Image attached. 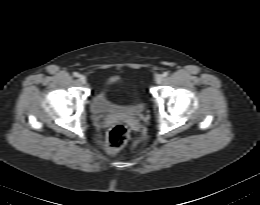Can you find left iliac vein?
<instances>
[{"label":"left iliac vein","instance_id":"1","mask_svg":"<svg viewBox=\"0 0 260 205\" xmlns=\"http://www.w3.org/2000/svg\"><path fill=\"white\" fill-rule=\"evenodd\" d=\"M155 81L157 84H161L163 82V76L162 75H157L155 78Z\"/></svg>","mask_w":260,"mask_h":205}]
</instances>
